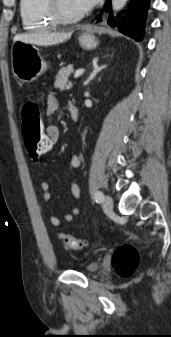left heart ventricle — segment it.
Wrapping results in <instances>:
<instances>
[{"instance_id": "1", "label": "left heart ventricle", "mask_w": 171, "mask_h": 337, "mask_svg": "<svg viewBox=\"0 0 171 337\" xmlns=\"http://www.w3.org/2000/svg\"><path fill=\"white\" fill-rule=\"evenodd\" d=\"M63 10L70 15L81 13L82 10L75 0H60Z\"/></svg>"}]
</instances>
